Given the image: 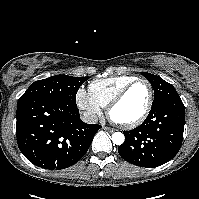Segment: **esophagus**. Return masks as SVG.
<instances>
[{
  "label": "esophagus",
  "mask_w": 199,
  "mask_h": 199,
  "mask_svg": "<svg viewBox=\"0 0 199 199\" xmlns=\"http://www.w3.org/2000/svg\"><path fill=\"white\" fill-rule=\"evenodd\" d=\"M104 130H106V131H109V132H114V129L113 128H110V127H107V126H103L102 127Z\"/></svg>",
  "instance_id": "obj_1"
}]
</instances>
